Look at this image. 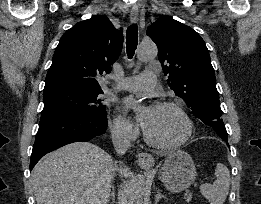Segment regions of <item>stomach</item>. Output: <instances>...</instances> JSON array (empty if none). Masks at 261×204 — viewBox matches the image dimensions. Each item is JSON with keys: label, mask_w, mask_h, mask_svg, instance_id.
I'll return each instance as SVG.
<instances>
[{"label": "stomach", "mask_w": 261, "mask_h": 204, "mask_svg": "<svg viewBox=\"0 0 261 204\" xmlns=\"http://www.w3.org/2000/svg\"><path fill=\"white\" fill-rule=\"evenodd\" d=\"M196 178L193 159L185 151L171 152L159 171V179L171 192H181Z\"/></svg>", "instance_id": "1"}]
</instances>
